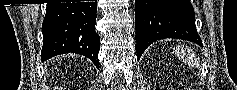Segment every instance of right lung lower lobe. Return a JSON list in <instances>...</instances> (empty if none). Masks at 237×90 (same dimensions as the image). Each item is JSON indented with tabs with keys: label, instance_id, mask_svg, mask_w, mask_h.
I'll use <instances>...</instances> for the list:
<instances>
[{
	"label": "right lung lower lobe",
	"instance_id": "obj_1",
	"mask_svg": "<svg viewBox=\"0 0 237 90\" xmlns=\"http://www.w3.org/2000/svg\"><path fill=\"white\" fill-rule=\"evenodd\" d=\"M96 12L97 2L47 4L42 24V62L71 52L86 56L99 68Z\"/></svg>",
	"mask_w": 237,
	"mask_h": 90
}]
</instances>
